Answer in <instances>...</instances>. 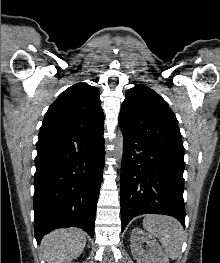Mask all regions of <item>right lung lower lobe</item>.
<instances>
[{"mask_svg": "<svg viewBox=\"0 0 220 263\" xmlns=\"http://www.w3.org/2000/svg\"><path fill=\"white\" fill-rule=\"evenodd\" d=\"M103 132L38 141L33 206L38 244L56 228L79 227L94 236L105 159Z\"/></svg>", "mask_w": 220, "mask_h": 263, "instance_id": "obj_1", "label": "right lung lower lobe"}]
</instances>
